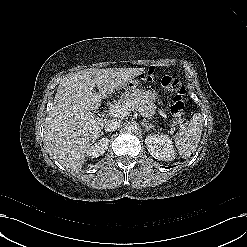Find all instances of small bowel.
I'll list each match as a JSON object with an SVG mask.
<instances>
[{"instance_id": "1", "label": "small bowel", "mask_w": 247, "mask_h": 247, "mask_svg": "<svg viewBox=\"0 0 247 247\" xmlns=\"http://www.w3.org/2000/svg\"><path fill=\"white\" fill-rule=\"evenodd\" d=\"M154 77V69L149 68L147 71H145L142 75V78L144 81H151Z\"/></svg>"}]
</instances>
